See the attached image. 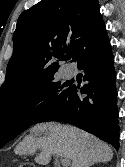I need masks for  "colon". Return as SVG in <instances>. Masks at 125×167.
Listing matches in <instances>:
<instances>
[{
	"instance_id": "5ec220e1",
	"label": "colon",
	"mask_w": 125,
	"mask_h": 167,
	"mask_svg": "<svg viewBox=\"0 0 125 167\" xmlns=\"http://www.w3.org/2000/svg\"><path fill=\"white\" fill-rule=\"evenodd\" d=\"M17 167H35L34 164L30 161H20Z\"/></svg>"
}]
</instances>
